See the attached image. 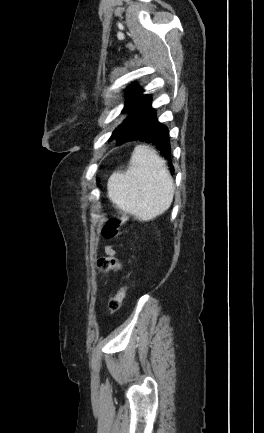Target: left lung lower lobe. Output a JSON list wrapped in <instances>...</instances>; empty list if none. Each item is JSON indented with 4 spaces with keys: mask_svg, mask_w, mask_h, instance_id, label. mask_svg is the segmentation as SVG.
<instances>
[{
    "mask_svg": "<svg viewBox=\"0 0 264 433\" xmlns=\"http://www.w3.org/2000/svg\"><path fill=\"white\" fill-rule=\"evenodd\" d=\"M151 103V95H142L129 109V115L122 122V125L129 132L128 137L124 141H118V143L123 144L128 141L139 140L155 145L160 154L169 161L170 171L173 173L169 130L158 121L156 111L151 107Z\"/></svg>",
    "mask_w": 264,
    "mask_h": 433,
    "instance_id": "left-lung-lower-lobe-1",
    "label": "left lung lower lobe"
}]
</instances>
